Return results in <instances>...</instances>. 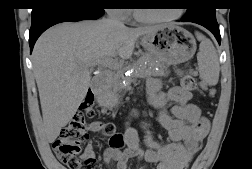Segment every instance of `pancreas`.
Returning <instances> with one entry per match:
<instances>
[{"label":"pancreas","instance_id":"pancreas-1","mask_svg":"<svg viewBox=\"0 0 252 169\" xmlns=\"http://www.w3.org/2000/svg\"><path fill=\"white\" fill-rule=\"evenodd\" d=\"M160 66L162 69L160 71H155V67ZM134 72L131 77L126 79L133 82L136 78H150L153 75L166 76L167 72L163 64L153 55H144L140 58L137 63L133 66ZM127 68H122L115 72L111 77L106 80L107 87L112 88L115 83H117Z\"/></svg>","mask_w":252,"mask_h":169}]
</instances>
